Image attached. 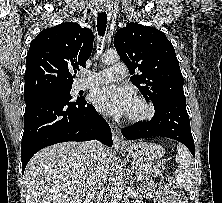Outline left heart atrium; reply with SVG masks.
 Returning a JSON list of instances; mask_svg holds the SVG:
<instances>
[{"mask_svg":"<svg viewBox=\"0 0 222 203\" xmlns=\"http://www.w3.org/2000/svg\"><path fill=\"white\" fill-rule=\"evenodd\" d=\"M90 99L99 111L111 116L127 114L132 104L130 91L114 85L93 90Z\"/></svg>","mask_w":222,"mask_h":203,"instance_id":"39dd6f15","label":"left heart atrium"}]
</instances>
